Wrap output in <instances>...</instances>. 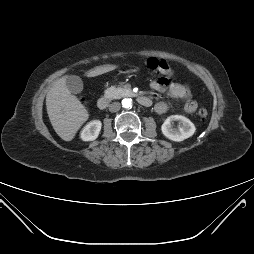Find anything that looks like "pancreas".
I'll return each instance as SVG.
<instances>
[{
  "mask_svg": "<svg viewBox=\"0 0 254 254\" xmlns=\"http://www.w3.org/2000/svg\"><path fill=\"white\" fill-rule=\"evenodd\" d=\"M129 92L125 88L111 86L105 90V97L109 99H118Z\"/></svg>",
  "mask_w": 254,
  "mask_h": 254,
  "instance_id": "1",
  "label": "pancreas"
}]
</instances>
